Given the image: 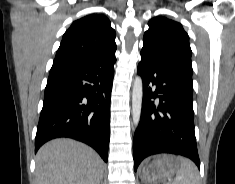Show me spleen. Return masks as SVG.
Returning <instances> with one entry per match:
<instances>
[{"label": "spleen", "instance_id": "obj_1", "mask_svg": "<svg viewBox=\"0 0 235 184\" xmlns=\"http://www.w3.org/2000/svg\"><path fill=\"white\" fill-rule=\"evenodd\" d=\"M180 166L176 172V180L172 184H200L198 168L188 160L179 158Z\"/></svg>", "mask_w": 235, "mask_h": 184}]
</instances>
